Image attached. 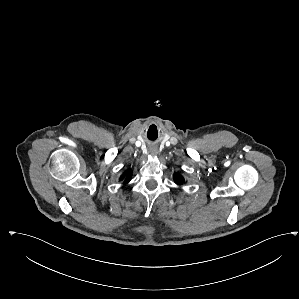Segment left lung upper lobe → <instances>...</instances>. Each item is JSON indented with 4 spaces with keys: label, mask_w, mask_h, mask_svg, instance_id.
I'll return each instance as SVG.
<instances>
[{
    "label": "left lung upper lobe",
    "mask_w": 299,
    "mask_h": 299,
    "mask_svg": "<svg viewBox=\"0 0 299 299\" xmlns=\"http://www.w3.org/2000/svg\"><path fill=\"white\" fill-rule=\"evenodd\" d=\"M174 181L177 183V184H182L184 183V178L178 174V173H175L174 174Z\"/></svg>",
    "instance_id": "left-lung-upper-lobe-1"
}]
</instances>
